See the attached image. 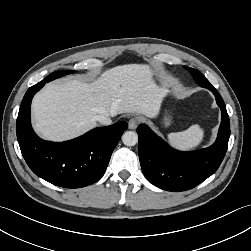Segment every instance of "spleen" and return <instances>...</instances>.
<instances>
[{"instance_id": "spleen-1", "label": "spleen", "mask_w": 251, "mask_h": 251, "mask_svg": "<svg viewBox=\"0 0 251 251\" xmlns=\"http://www.w3.org/2000/svg\"><path fill=\"white\" fill-rule=\"evenodd\" d=\"M168 142L180 150H192L199 146L204 139V129L195 124L182 132L167 135Z\"/></svg>"}]
</instances>
